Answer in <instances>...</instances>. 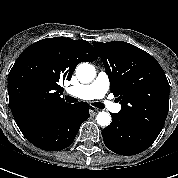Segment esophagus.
I'll list each match as a JSON object with an SVG mask.
<instances>
[{
    "label": "esophagus",
    "instance_id": "1",
    "mask_svg": "<svg viewBox=\"0 0 178 178\" xmlns=\"http://www.w3.org/2000/svg\"><path fill=\"white\" fill-rule=\"evenodd\" d=\"M98 112H99V109H96V108L95 109H93V108L90 109V115L91 116L96 115Z\"/></svg>",
    "mask_w": 178,
    "mask_h": 178
}]
</instances>
